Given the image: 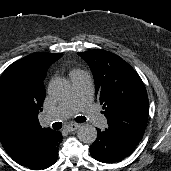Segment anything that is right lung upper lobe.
<instances>
[{
  "instance_id": "cb5924a9",
  "label": "right lung upper lobe",
  "mask_w": 171,
  "mask_h": 171,
  "mask_svg": "<svg viewBox=\"0 0 171 171\" xmlns=\"http://www.w3.org/2000/svg\"><path fill=\"white\" fill-rule=\"evenodd\" d=\"M62 55L36 52L12 63L1 75L0 79L13 77L21 94L16 116L5 118L0 114V142L18 164L35 154L44 139L53 133L52 129L40 126L38 114L46 95L43 81L47 70Z\"/></svg>"
}]
</instances>
